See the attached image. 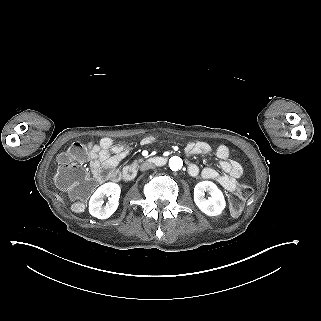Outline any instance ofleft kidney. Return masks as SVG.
Listing matches in <instances>:
<instances>
[{"mask_svg": "<svg viewBox=\"0 0 321 321\" xmlns=\"http://www.w3.org/2000/svg\"><path fill=\"white\" fill-rule=\"evenodd\" d=\"M206 191L210 194L208 199L204 197ZM194 201L198 208L208 216L221 214L226 206L223 193L211 181H202L195 186Z\"/></svg>", "mask_w": 321, "mask_h": 321, "instance_id": "left-kidney-1", "label": "left kidney"}]
</instances>
